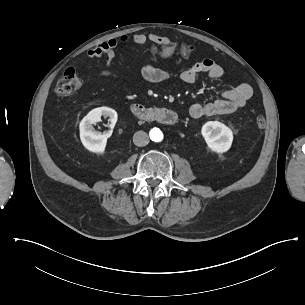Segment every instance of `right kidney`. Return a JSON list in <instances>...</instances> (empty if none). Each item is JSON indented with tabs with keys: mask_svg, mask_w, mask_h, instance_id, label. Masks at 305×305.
<instances>
[{
	"mask_svg": "<svg viewBox=\"0 0 305 305\" xmlns=\"http://www.w3.org/2000/svg\"><path fill=\"white\" fill-rule=\"evenodd\" d=\"M102 116L109 118V121L115 125L118 119L117 112L108 107L93 109L81 120L79 124V134L82 145L91 153L104 154L106 150V139L94 131L93 124L101 121Z\"/></svg>",
	"mask_w": 305,
	"mask_h": 305,
	"instance_id": "1",
	"label": "right kidney"
}]
</instances>
